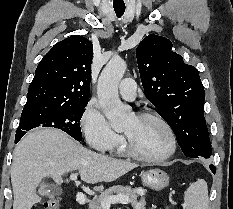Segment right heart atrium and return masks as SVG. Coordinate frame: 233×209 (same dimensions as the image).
<instances>
[{
	"instance_id": "1",
	"label": "right heart atrium",
	"mask_w": 233,
	"mask_h": 209,
	"mask_svg": "<svg viewBox=\"0 0 233 209\" xmlns=\"http://www.w3.org/2000/svg\"><path fill=\"white\" fill-rule=\"evenodd\" d=\"M80 125L87 144L98 151H108L122 141L105 118L99 104L90 100L85 106Z\"/></svg>"
}]
</instances>
